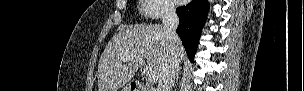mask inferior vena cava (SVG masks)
<instances>
[{
    "label": "inferior vena cava",
    "mask_w": 304,
    "mask_h": 91,
    "mask_svg": "<svg viewBox=\"0 0 304 91\" xmlns=\"http://www.w3.org/2000/svg\"><path fill=\"white\" fill-rule=\"evenodd\" d=\"M162 23L166 31L170 60L158 80L157 91H171L174 80L179 72L178 44L180 43V39L176 33L179 18L173 5L164 6Z\"/></svg>",
    "instance_id": "602c4592"
}]
</instances>
